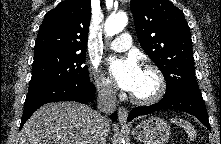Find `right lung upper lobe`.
<instances>
[{
    "instance_id": "obj_1",
    "label": "right lung upper lobe",
    "mask_w": 221,
    "mask_h": 144,
    "mask_svg": "<svg viewBox=\"0 0 221 144\" xmlns=\"http://www.w3.org/2000/svg\"><path fill=\"white\" fill-rule=\"evenodd\" d=\"M91 16L90 0H65L49 11L40 26L35 54L85 53Z\"/></svg>"
}]
</instances>
